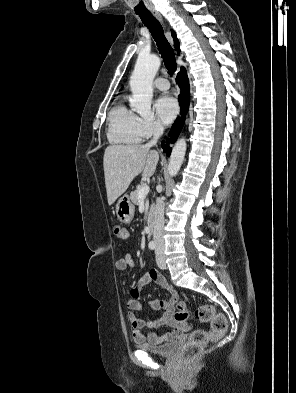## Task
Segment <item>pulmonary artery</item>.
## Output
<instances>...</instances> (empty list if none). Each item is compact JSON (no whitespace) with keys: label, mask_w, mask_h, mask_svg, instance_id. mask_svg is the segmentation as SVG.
I'll use <instances>...</instances> for the list:
<instances>
[{"label":"pulmonary artery","mask_w":296,"mask_h":393,"mask_svg":"<svg viewBox=\"0 0 296 393\" xmlns=\"http://www.w3.org/2000/svg\"><path fill=\"white\" fill-rule=\"evenodd\" d=\"M154 86L161 91H167L170 88L169 81L163 77L157 78L154 82Z\"/></svg>","instance_id":"1"}]
</instances>
